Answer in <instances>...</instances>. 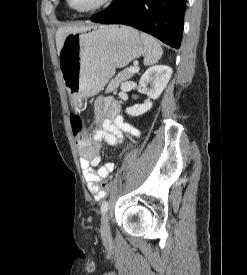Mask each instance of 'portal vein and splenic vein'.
Returning a JSON list of instances; mask_svg holds the SVG:
<instances>
[{
    "mask_svg": "<svg viewBox=\"0 0 247 275\" xmlns=\"http://www.w3.org/2000/svg\"><path fill=\"white\" fill-rule=\"evenodd\" d=\"M130 73H136V72H138L139 71V68L138 67H132V68H130L129 70H128Z\"/></svg>",
    "mask_w": 247,
    "mask_h": 275,
    "instance_id": "18ae733b",
    "label": "portal vein and splenic vein"
}]
</instances>
